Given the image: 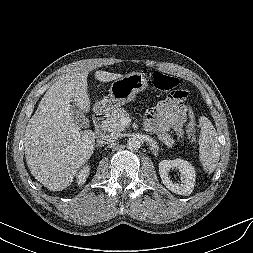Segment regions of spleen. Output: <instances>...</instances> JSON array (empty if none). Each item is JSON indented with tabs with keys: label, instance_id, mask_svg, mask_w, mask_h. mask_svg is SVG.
Instances as JSON below:
<instances>
[{
	"label": "spleen",
	"instance_id": "3e777b00",
	"mask_svg": "<svg viewBox=\"0 0 253 253\" xmlns=\"http://www.w3.org/2000/svg\"><path fill=\"white\" fill-rule=\"evenodd\" d=\"M201 126L199 139V161L204 171L212 173L220 159V144L218 136L211 121L201 116L199 118Z\"/></svg>",
	"mask_w": 253,
	"mask_h": 253
}]
</instances>
